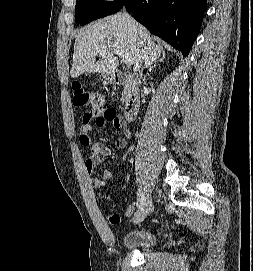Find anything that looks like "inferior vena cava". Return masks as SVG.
Masks as SVG:
<instances>
[{
  "label": "inferior vena cava",
  "mask_w": 253,
  "mask_h": 271,
  "mask_svg": "<svg viewBox=\"0 0 253 271\" xmlns=\"http://www.w3.org/2000/svg\"><path fill=\"white\" fill-rule=\"evenodd\" d=\"M124 16H126L128 19H130L132 22V25L135 26L134 21L131 19V17L128 15V13H124Z\"/></svg>",
  "instance_id": "602c4592"
}]
</instances>
